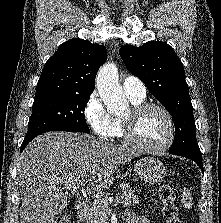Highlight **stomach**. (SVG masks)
<instances>
[{
    "mask_svg": "<svg viewBox=\"0 0 221 223\" xmlns=\"http://www.w3.org/2000/svg\"><path fill=\"white\" fill-rule=\"evenodd\" d=\"M134 172L138 179L147 184H156L163 180L166 168L154 157H144L134 164Z\"/></svg>",
    "mask_w": 221,
    "mask_h": 223,
    "instance_id": "stomach-1",
    "label": "stomach"
}]
</instances>
